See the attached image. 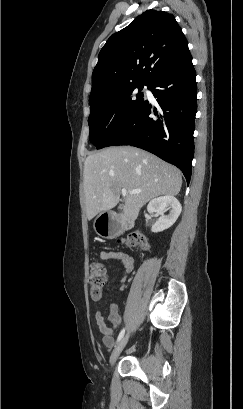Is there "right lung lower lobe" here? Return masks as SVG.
<instances>
[{
	"label": "right lung lower lobe",
	"instance_id": "right-lung-lower-lobe-1",
	"mask_svg": "<svg viewBox=\"0 0 243 409\" xmlns=\"http://www.w3.org/2000/svg\"><path fill=\"white\" fill-rule=\"evenodd\" d=\"M149 90L159 104L155 116H150L152 105L144 101L108 146L131 145L149 151L181 169L189 184L197 86L188 47L152 81Z\"/></svg>",
	"mask_w": 243,
	"mask_h": 409
}]
</instances>
